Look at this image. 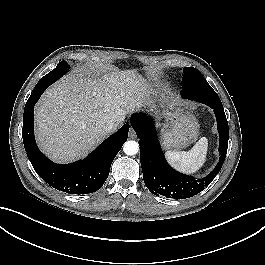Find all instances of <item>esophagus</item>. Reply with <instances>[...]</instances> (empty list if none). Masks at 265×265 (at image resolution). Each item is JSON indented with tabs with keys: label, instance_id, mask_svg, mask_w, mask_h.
<instances>
[{
	"label": "esophagus",
	"instance_id": "34e87169",
	"mask_svg": "<svg viewBox=\"0 0 265 265\" xmlns=\"http://www.w3.org/2000/svg\"><path fill=\"white\" fill-rule=\"evenodd\" d=\"M136 132H135V130L133 129V128H130V130H129V138L130 139H135L136 138Z\"/></svg>",
	"mask_w": 265,
	"mask_h": 265
}]
</instances>
